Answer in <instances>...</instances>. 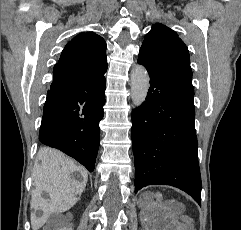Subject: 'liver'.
<instances>
[{"label":"liver","instance_id":"liver-1","mask_svg":"<svg viewBox=\"0 0 241 230\" xmlns=\"http://www.w3.org/2000/svg\"><path fill=\"white\" fill-rule=\"evenodd\" d=\"M37 159L40 163L34 167L33 181L38 195L34 196V191L31 200V209L34 210L31 213L33 230L41 228L52 213L65 212L72 208L84 191L88 179L84 167L58 150L41 148ZM76 172L81 176L80 181L73 176ZM42 189L51 194L49 200L41 197ZM37 211H42V215L38 217Z\"/></svg>","mask_w":241,"mask_h":230}]
</instances>
